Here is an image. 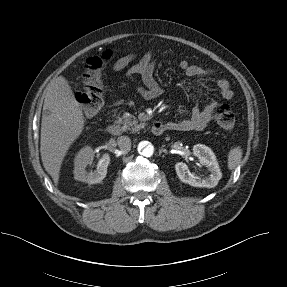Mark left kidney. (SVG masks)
I'll use <instances>...</instances> for the list:
<instances>
[{
  "instance_id": "5707ae66",
  "label": "left kidney",
  "mask_w": 287,
  "mask_h": 287,
  "mask_svg": "<svg viewBox=\"0 0 287 287\" xmlns=\"http://www.w3.org/2000/svg\"><path fill=\"white\" fill-rule=\"evenodd\" d=\"M193 154L198 157L201 165L208 168L211 174L206 178L195 177L188 172V166L185 163L178 162L175 164V170L179 179L193 187L214 188L222 178V173L213 151L203 144H196L193 146Z\"/></svg>"
}]
</instances>
